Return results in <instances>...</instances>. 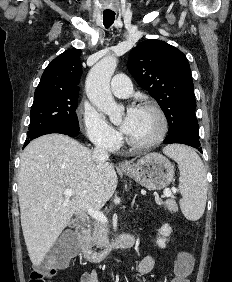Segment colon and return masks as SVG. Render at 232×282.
I'll return each instance as SVG.
<instances>
[{"mask_svg":"<svg viewBox=\"0 0 232 282\" xmlns=\"http://www.w3.org/2000/svg\"><path fill=\"white\" fill-rule=\"evenodd\" d=\"M76 249L77 242L66 236L51 248L43 261L34 266L29 282H51L50 279L55 275L56 270L68 264ZM191 267V257L185 252L181 253L176 262V275L171 282H189Z\"/></svg>","mask_w":232,"mask_h":282,"instance_id":"obj_1","label":"colon"}]
</instances>
